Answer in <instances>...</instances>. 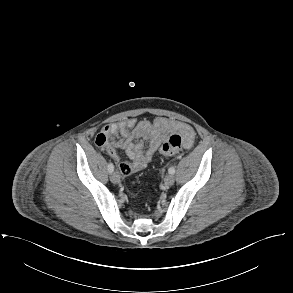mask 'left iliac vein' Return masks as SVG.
Here are the masks:
<instances>
[{"label": "left iliac vein", "mask_w": 293, "mask_h": 293, "mask_svg": "<svg viewBox=\"0 0 293 293\" xmlns=\"http://www.w3.org/2000/svg\"><path fill=\"white\" fill-rule=\"evenodd\" d=\"M174 177L172 175H167L165 178H164V183L167 185V186H171L174 184Z\"/></svg>", "instance_id": "left-iliac-vein-1"}]
</instances>
